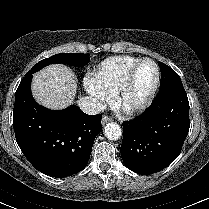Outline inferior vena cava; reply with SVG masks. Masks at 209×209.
Instances as JSON below:
<instances>
[{
    "label": "inferior vena cava",
    "mask_w": 209,
    "mask_h": 209,
    "mask_svg": "<svg viewBox=\"0 0 209 209\" xmlns=\"http://www.w3.org/2000/svg\"><path fill=\"white\" fill-rule=\"evenodd\" d=\"M78 105L80 109L89 115H96L104 111L105 106L96 98L82 97Z\"/></svg>",
    "instance_id": "obj_1"
}]
</instances>
